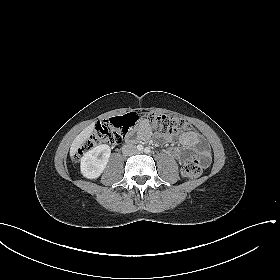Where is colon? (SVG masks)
I'll use <instances>...</instances> for the list:
<instances>
[{
    "mask_svg": "<svg viewBox=\"0 0 280 280\" xmlns=\"http://www.w3.org/2000/svg\"><path fill=\"white\" fill-rule=\"evenodd\" d=\"M146 119L155 130L162 133L175 134L186 131L190 128L188 122L178 116L151 112L146 115ZM137 120V114L129 113L125 116L113 117L98 122L94 131L83 143L77 154V158L80 157L83 152L92 149L95 146L115 145L121 142L129 129L136 124ZM207 164V156L200 155L192 157L183 164L181 173L186 178H197L201 175L203 167Z\"/></svg>",
    "mask_w": 280,
    "mask_h": 280,
    "instance_id": "obj_1",
    "label": "colon"
}]
</instances>
